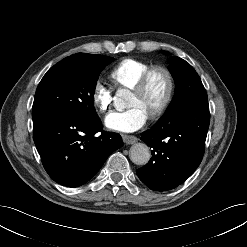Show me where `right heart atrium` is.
<instances>
[{
	"label": "right heart atrium",
	"instance_id": "obj_1",
	"mask_svg": "<svg viewBox=\"0 0 247 247\" xmlns=\"http://www.w3.org/2000/svg\"><path fill=\"white\" fill-rule=\"evenodd\" d=\"M92 100L99 112L106 113L112 106L113 90L103 81L97 80L93 86Z\"/></svg>",
	"mask_w": 247,
	"mask_h": 247
}]
</instances>
